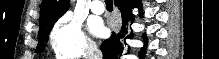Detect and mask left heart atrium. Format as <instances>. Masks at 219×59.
Wrapping results in <instances>:
<instances>
[{
    "label": "left heart atrium",
    "mask_w": 219,
    "mask_h": 59,
    "mask_svg": "<svg viewBox=\"0 0 219 59\" xmlns=\"http://www.w3.org/2000/svg\"><path fill=\"white\" fill-rule=\"evenodd\" d=\"M90 31L96 36H103L105 34V28L99 19H91L88 22Z\"/></svg>",
    "instance_id": "1"
}]
</instances>
